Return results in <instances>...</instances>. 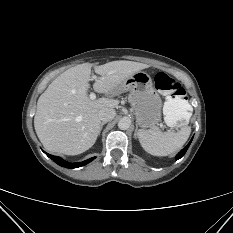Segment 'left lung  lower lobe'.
Instances as JSON below:
<instances>
[{
  "label": "left lung lower lobe",
  "instance_id": "1",
  "mask_svg": "<svg viewBox=\"0 0 233 233\" xmlns=\"http://www.w3.org/2000/svg\"><path fill=\"white\" fill-rule=\"evenodd\" d=\"M192 139H193V138H192ZM192 139H191V141H192ZM191 141L188 143V145H187L185 148H183V149L177 154V156H176L177 159H180L181 157H183V155L186 153V151H187V149H188V147H189Z\"/></svg>",
  "mask_w": 233,
  "mask_h": 233
}]
</instances>
